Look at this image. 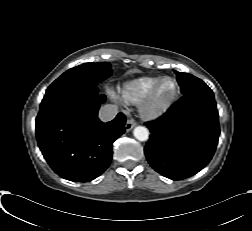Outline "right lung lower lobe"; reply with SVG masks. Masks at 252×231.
<instances>
[{"instance_id": "1", "label": "right lung lower lobe", "mask_w": 252, "mask_h": 231, "mask_svg": "<svg viewBox=\"0 0 252 231\" xmlns=\"http://www.w3.org/2000/svg\"><path fill=\"white\" fill-rule=\"evenodd\" d=\"M104 101L94 85L44 96L36 118L37 142L61 177L87 182L109 166L112 144L125 132L126 118L119 113L110 122L100 121L98 109Z\"/></svg>"}]
</instances>
